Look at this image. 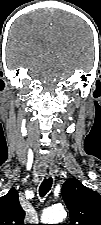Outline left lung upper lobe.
Returning a JSON list of instances; mask_svg holds the SVG:
<instances>
[{"mask_svg":"<svg viewBox=\"0 0 101 225\" xmlns=\"http://www.w3.org/2000/svg\"><path fill=\"white\" fill-rule=\"evenodd\" d=\"M62 196L69 210L67 225H101V196L70 178L62 186Z\"/></svg>","mask_w":101,"mask_h":225,"instance_id":"1","label":"left lung upper lobe"}]
</instances>
